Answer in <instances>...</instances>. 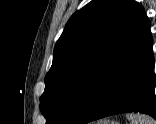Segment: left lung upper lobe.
I'll return each mask as SVG.
<instances>
[{
	"mask_svg": "<svg viewBox=\"0 0 156 124\" xmlns=\"http://www.w3.org/2000/svg\"><path fill=\"white\" fill-rule=\"evenodd\" d=\"M150 28L134 0H92L68 20L45 76L46 124H78L115 64Z\"/></svg>",
	"mask_w": 156,
	"mask_h": 124,
	"instance_id": "obj_1",
	"label": "left lung upper lobe"
}]
</instances>
